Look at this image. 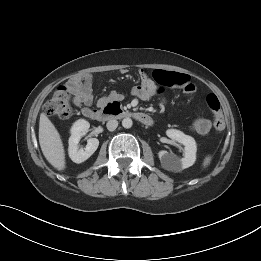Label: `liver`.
<instances>
[{
    "label": "liver",
    "instance_id": "liver-1",
    "mask_svg": "<svg viewBox=\"0 0 261 261\" xmlns=\"http://www.w3.org/2000/svg\"><path fill=\"white\" fill-rule=\"evenodd\" d=\"M39 143L47 161L57 170H64L65 152L60 134L44 113L39 120Z\"/></svg>",
    "mask_w": 261,
    "mask_h": 261
}]
</instances>
